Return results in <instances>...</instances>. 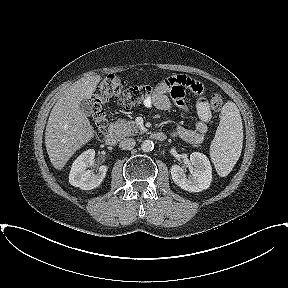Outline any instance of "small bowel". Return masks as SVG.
I'll use <instances>...</instances> for the list:
<instances>
[{
	"mask_svg": "<svg viewBox=\"0 0 288 288\" xmlns=\"http://www.w3.org/2000/svg\"><path fill=\"white\" fill-rule=\"evenodd\" d=\"M188 89L197 95L195 108L198 120L195 123V129L178 126L173 134L190 145H198L203 141L208 131V123L212 119L210 106L204 97V88L200 83L183 75L169 77L156 85L154 94L144 102V106L147 108L155 107L160 110H170L176 107L186 112L188 106L184 96Z\"/></svg>",
	"mask_w": 288,
	"mask_h": 288,
	"instance_id": "1",
	"label": "small bowel"
}]
</instances>
